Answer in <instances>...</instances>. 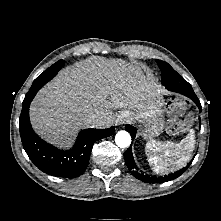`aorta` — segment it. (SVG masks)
<instances>
[{"label": "aorta", "instance_id": "aorta-1", "mask_svg": "<svg viewBox=\"0 0 221 221\" xmlns=\"http://www.w3.org/2000/svg\"><path fill=\"white\" fill-rule=\"evenodd\" d=\"M115 142L120 148H126L131 143V136L127 131L121 130L116 134Z\"/></svg>", "mask_w": 221, "mask_h": 221}]
</instances>
